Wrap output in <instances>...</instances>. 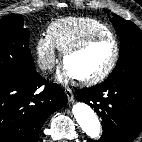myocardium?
I'll list each match as a JSON object with an SVG mask.
<instances>
[{
    "mask_svg": "<svg viewBox=\"0 0 142 142\" xmlns=\"http://www.w3.org/2000/svg\"><path fill=\"white\" fill-rule=\"evenodd\" d=\"M99 40H110L113 43L114 45L113 57L110 63L108 64V66L100 73L90 76V77H86V78H76L75 77L77 81L83 85L91 86V85L98 84L102 82L103 80H105L113 72V70L115 69L118 63L119 57H120V45H119L118 40L113 34H93L71 45L66 50H64L62 53V63L65 66L66 59L69 56L82 51L83 49L88 47L90 44L96 41H99Z\"/></svg>",
    "mask_w": 142,
    "mask_h": 142,
    "instance_id": "myocardium-1",
    "label": "myocardium"
}]
</instances>
